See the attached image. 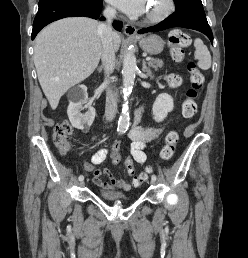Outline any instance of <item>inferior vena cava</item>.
Returning a JSON list of instances; mask_svg holds the SVG:
<instances>
[{
    "label": "inferior vena cava",
    "mask_w": 248,
    "mask_h": 258,
    "mask_svg": "<svg viewBox=\"0 0 248 258\" xmlns=\"http://www.w3.org/2000/svg\"><path fill=\"white\" fill-rule=\"evenodd\" d=\"M104 16L107 20L105 23H102L100 25V30L102 33L101 60L103 63V69L106 76V84L109 85V76L114 71L116 61L115 48L113 44L114 32L111 25L112 20L116 17V10L108 6L104 10ZM116 110V94L112 92L111 88H108L105 108V117L107 121H112L114 119Z\"/></svg>",
    "instance_id": "1"
}]
</instances>
